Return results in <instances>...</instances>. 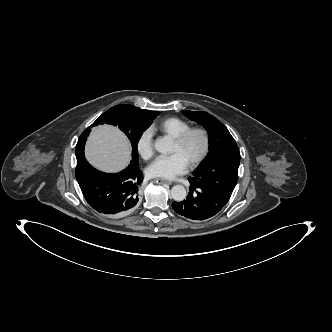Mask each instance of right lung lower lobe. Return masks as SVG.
Listing matches in <instances>:
<instances>
[{"instance_id": "1", "label": "right lung lower lobe", "mask_w": 332, "mask_h": 332, "mask_svg": "<svg viewBox=\"0 0 332 332\" xmlns=\"http://www.w3.org/2000/svg\"><path fill=\"white\" fill-rule=\"evenodd\" d=\"M90 131L88 127L80 138L87 139ZM75 175L86 201L100 213L120 217L133 212L140 203L138 186L143 181V174L139 167L129 164L119 173H104L87 162L83 150Z\"/></svg>"}]
</instances>
